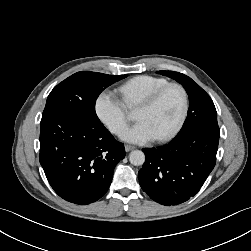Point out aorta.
<instances>
[{"label":"aorta","mask_w":251,"mask_h":251,"mask_svg":"<svg viewBox=\"0 0 251 251\" xmlns=\"http://www.w3.org/2000/svg\"><path fill=\"white\" fill-rule=\"evenodd\" d=\"M129 161L132 165L141 166L145 162V154L141 150H133L129 154Z\"/></svg>","instance_id":"762f6f07"}]
</instances>
